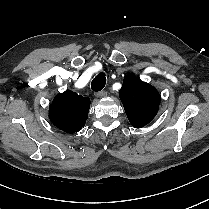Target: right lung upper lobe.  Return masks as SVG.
Returning <instances> with one entry per match:
<instances>
[{
    "instance_id": "cb5924a9",
    "label": "right lung upper lobe",
    "mask_w": 209,
    "mask_h": 209,
    "mask_svg": "<svg viewBox=\"0 0 209 209\" xmlns=\"http://www.w3.org/2000/svg\"><path fill=\"white\" fill-rule=\"evenodd\" d=\"M90 99L66 90L54 97L49 110L51 122L67 133H75L85 125Z\"/></svg>"
}]
</instances>
